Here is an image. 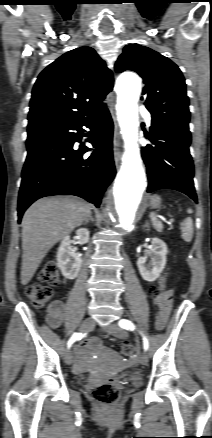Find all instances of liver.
Listing matches in <instances>:
<instances>
[{"instance_id":"obj_1","label":"liver","mask_w":212,"mask_h":438,"mask_svg":"<svg viewBox=\"0 0 212 438\" xmlns=\"http://www.w3.org/2000/svg\"><path fill=\"white\" fill-rule=\"evenodd\" d=\"M90 213V204L73 197L42 198L26 210L22 220V285L30 282L48 251Z\"/></svg>"}]
</instances>
